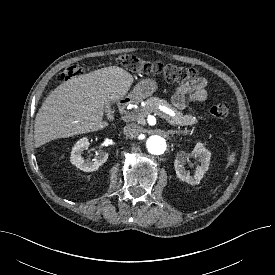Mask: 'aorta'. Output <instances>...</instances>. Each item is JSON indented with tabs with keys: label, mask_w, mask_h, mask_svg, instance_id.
<instances>
[{
	"label": "aorta",
	"mask_w": 275,
	"mask_h": 275,
	"mask_svg": "<svg viewBox=\"0 0 275 275\" xmlns=\"http://www.w3.org/2000/svg\"><path fill=\"white\" fill-rule=\"evenodd\" d=\"M146 147L149 153L153 155H161L166 150V140L158 135H152L147 139Z\"/></svg>",
	"instance_id": "aorta-1"
}]
</instances>
